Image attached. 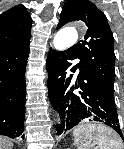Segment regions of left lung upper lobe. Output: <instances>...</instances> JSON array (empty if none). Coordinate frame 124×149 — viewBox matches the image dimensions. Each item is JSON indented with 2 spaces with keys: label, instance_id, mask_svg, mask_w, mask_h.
<instances>
[{
  "label": "left lung upper lobe",
  "instance_id": "obj_1",
  "mask_svg": "<svg viewBox=\"0 0 124 149\" xmlns=\"http://www.w3.org/2000/svg\"><path fill=\"white\" fill-rule=\"evenodd\" d=\"M75 20L83 21L87 31L84 39L70 49L92 78L114 90V38L104 13L89 0H67L57 29Z\"/></svg>",
  "mask_w": 124,
  "mask_h": 149
}]
</instances>
